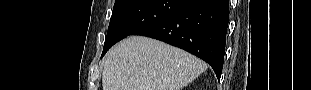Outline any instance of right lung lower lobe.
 Returning <instances> with one entry per match:
<instances>
[{
	"mask_svg": "<svg viewBox=\"0 0 311 90\" xmlns=\"http://www.w3.org/2000/svg\"><path fill=\"white\" fill-rule=\"evenodd\" d=\"M229 0H184L173 12L136 35L164 41L206 61L221 77Z\"/></svg>",
	"mask_w": 311,
	"mask_h": 90,
	"instance_id": "obj_1",
	"label": "right lung lower lobe"
}]
</instances>
